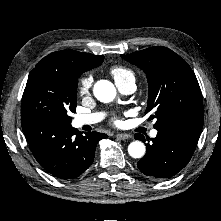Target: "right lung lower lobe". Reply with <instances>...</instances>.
Instances as JSON below:
<instances>
[{"label": "right lung lower lobe", "instance_id": "98d812e1", "mask_svg": "<svg viewBox=\"0 0 221 221\" xmlns=\"http://www.w3.org/2000/svg\"><path fill=\"white\" fill-rule=\"evenodd\" d=\"M21 124L38 163L61 179L81 175L93 162L97 143L107 137L98 132L82 135L71 125L45 119L27 118Z\"/></svg>", "mask_w": 221, "mask_h": 221}]
</instances>
